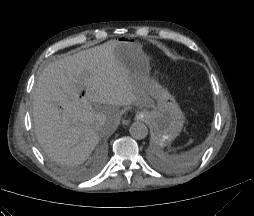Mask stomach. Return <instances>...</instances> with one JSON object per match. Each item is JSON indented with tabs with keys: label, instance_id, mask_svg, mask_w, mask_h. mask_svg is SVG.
Returning <instances> with one entry per match:
<instances>
[{
	"label": "stomach",
	"instance_id": "0dacf381",
	"mask_svg": "<svg viewBox=\"0 0 254 216\" xmlns=\"http://www.w3.org/2000/svg\"><path fill=\"white\" fill-rule=\"evenodd\" d=\"M117 42L116 52L130 76L149 77V58L141 46L130 41ZM147 88L151 97L157 100V105L151 110H142L137 116L152 126L155 142L160 146H166L180 134L184 116L174 97L161 84L150 79Z\"/></svg>",
	"mask_w": 254,
	"mask_h": 216
}]
</instances>
